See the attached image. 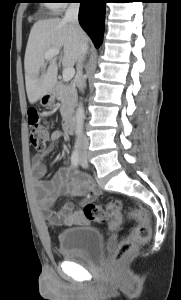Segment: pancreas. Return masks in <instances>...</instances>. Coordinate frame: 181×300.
Masks as SVG:
<instances>
[{"mask_svg":"<svg viewBox=\"0 0 181 300\" xmlns=\"http://www.w3.org/2000/svg\"><path fill=\"white\" fill-rule=\"evenodd\" d=\"M56 97L61 102L60 113L65 119L74 111L77 101V92L74 85L59 82L56 85Z\"/></svg>","mask_w":181,"mask_h":300,"instance_id":"obj_1","label":"pancreas"}]
</instances>
